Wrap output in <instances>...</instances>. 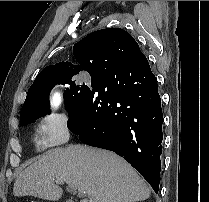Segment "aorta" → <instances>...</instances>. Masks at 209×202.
I'll return each mask as SVG.
<instances>
[{
    "mask_svg": "<svg viewBox=\"0 0 209 202\" xmlns=\"http://www.w3.org/2000/svg\"><path fill=\"white\" fill-rule=\"evenodd\" d=\"M54 102L57 103V96L54 97Z\"/></svg>",
    "mask_w": 209,
    "mask_h": 202,
    "instance_id": "aorta-1",
    "label": "aorta"
}]
</instances>
